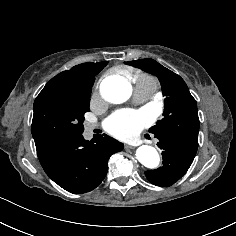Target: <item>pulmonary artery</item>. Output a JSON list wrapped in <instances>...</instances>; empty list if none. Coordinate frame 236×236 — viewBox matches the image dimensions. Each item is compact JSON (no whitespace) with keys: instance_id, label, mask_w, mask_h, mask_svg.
<instances>
[{"instance_id":"1","label":"pulmonary artery","mask_w":236,"mask_h":236,"mask_svg":"<svg viewBox=\"0 0 236 236\" xmlns=\"http://www.w3.org/2000/svg\"><path fill=\"white\" fill-rule=\"evenodd\" d=\"M155 92L154 88L137 86L134 88V98L138 101H146L150 99ZM96 128V124H88L86 130L92 132Z\"/></svg>"}]
</instances>
